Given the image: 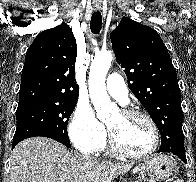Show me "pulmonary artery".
<instances>
[{
	"label": "pulmonary artery",
	"mask_w": 196,
	"mask_h": 182,
	"mask_svg": "<svg viewBox=\"0 0 196 182\" xmlns=\"http://www.w3.org/2000/svg\"><path fill=\"white\" fill-rule=\"evenodd\" d=\"M106 89L108 93L120 103L125 104L128 101V89L123 78L118 74H111L106 80Z\"/></svg>",
	"instance_id": "pulmonary-artery-1"
}]
</instances>
